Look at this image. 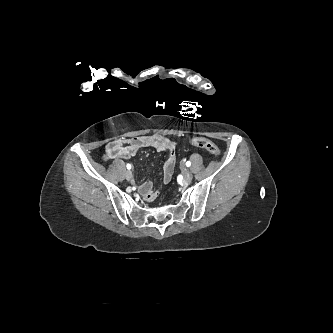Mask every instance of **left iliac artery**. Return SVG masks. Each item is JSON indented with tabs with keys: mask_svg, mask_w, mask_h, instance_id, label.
<instances>
[{
	"mask_svg": "<svg viewBox=\"0 0 333 333\" xmlns=\"http://www.w3.org/2000/svg\"><path fill=\"white\" fill-rule=\"evenodd\" d=\"M186 166H187V167H190V166H191V162H190V161H187V162H186Z\"/></svg>",
	"mask_w": 333,
	"mask_h": 333,
	"instance_id": "left-iliac-artery-1",
	"label": "left iliac artery"
}]
</instances>
